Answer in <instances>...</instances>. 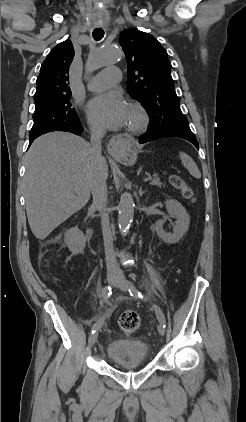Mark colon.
Instances as JSON below:
<instances>
[{
  "mask_svg": "<svg viewBox=\"0 0 246 422\" xmlns=\"http://www.w3.org/2000/svg\"><path fill=\"white\" fill-rule=\"evenodd\" d=\"M170 181L182 193L184 198L192 199L193 191L191 187L180 176L172 175ZM140 323V316L133 310L124 311L118 319V325L125 333L135 332L139 328Z\"/></svg>",
  "mask_w": 246,
  "mask_h": 422,
  "instance_id": "colon-1",
  "label": "colon"
}]
</instances>
